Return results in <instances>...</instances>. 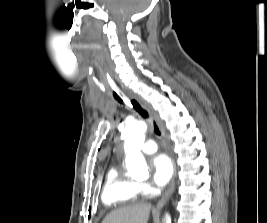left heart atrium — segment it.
<instances>
[{"instance_id":"obj_1","label":"left heart atrium","mask_w":267,"mask_h":223,"mask_svg":"<svg viewBox=\"0 0 267 223\" xmlns=\"http://www.w3.org/2000/svg\"><path fill=\"white\" fill-rule=\"evenodd\" d=\"M152 181L158 186L169 182L174 173V164L171 157L165 153L157 154L151 160Z\"/></svg>"}]
</instances>
